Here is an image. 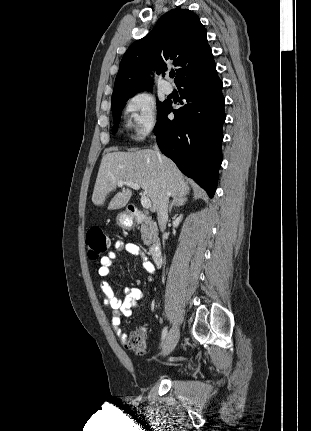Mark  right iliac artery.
Returning <instances> with one entry per match:
<instances>
[{
    "label": "right iliac artery",
    "mask_w": 311,
    "mask_h": 431,
    "mask_svg": "<svg viewBox=\"0 0 311 431\" xmlns=\"http://www.w3.org/2000/svg\"><path fill=\"white\" fill-rule=\"evenodd\" d=\"M167 334H168L167 327H164L162 331V341L165 340V338L167 337Z\"/></svg>",
    "instance_id": "obj_1"
}]
</instances>
